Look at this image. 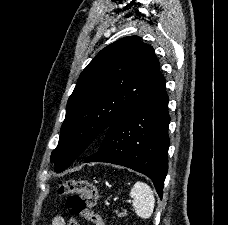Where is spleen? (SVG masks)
Returning a JSON list of instances; mask_svg holds the SVG:
<instances>
[{
  "label": "spleen",
  "instance_id": "3e777b00",
  "mask_svg": "<svg viewBox=\"0 0 228 225\" xmlns=\"http://www.w3.org/2000/svg\"><path fill=\"white\" fill-rule=\"evenodd\" d=\"M130 197L133 201V211H135L137 217L141 219H149L153 215L155 197L154 191L150 189L149 185L146 183H135L130 191Z\"/></svg>",
  "mask_w": 228,
  "mask_h": 225
}]
</instances>
